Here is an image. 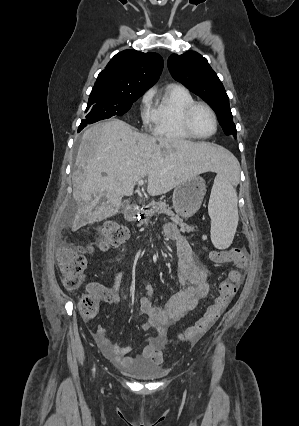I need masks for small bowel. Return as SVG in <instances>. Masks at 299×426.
Segmentation results:
<instances>
[{
    "mask_svg": "<svg viewBox=\"0 0 299 426\" xmlns=\"http://www.w3.org/2000/svg\"><path fill=\"white\" fill-rule=\"evenodd\" d=\"M164 232L166 237L173 241L176 246L177 262L175 269L181 289L172 295L164 306L159 307L152 303L154 294L152 286L148 283L145 284V293L140 297V310L146 316V319L141 324V329L153 331L154 335L147 339V343L141 352L131 356L132 348L114 344L106 336V330L102 326H96L93 331L103 355L121 368L141 364L160 365L163 362V349L169 326L181 320L193 310L209 291V272L204 266L194 261L188 240L174 224H167L164 227ZM119 288V272H115L109 287L97 283L89 287L110 306L119 302Z\"/></svg>",
    "mask_w": 299,
    "mask_h": 426,
    "instance_id": "small-bowel-1",
    "label": "small bowel"
}]
</instances>
